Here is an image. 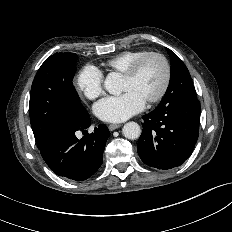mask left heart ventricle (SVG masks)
Returning <instances> with one entry per match:
<instances>
[{"label":"left heart ventricle","instance_id":"obj_1","mask_svg":"<svg viewBox=\"0 0 232 232\" xmlns=\"http://www.w3.org/2000/svg\"><path fill=\"white\" fill-rule=\"evenodd\" d=\"M163 79L164 69L161 61L157 58H150L144 62L136 76L123 77V91L133 90L146 101L158 93Z\"/></svg>","mask_w":232,"mask_h":232}]
</instances>
